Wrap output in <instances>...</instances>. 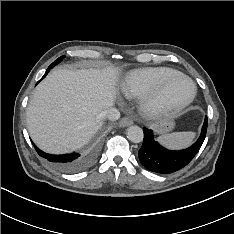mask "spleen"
Instances as JSON below:
<instances>
[{"label": "spleen", "mask_w": 234, "mask_h": 234, "mask_svg": "<svg viewBox=\"0 0 234 234\" xmlns=\"http://www.w3.org/2000/svg\"><path fill=\"white\" fill-rule=\"evenodd\" d=\"M195 138L194 132H175L158 137V141L171 149H181L190 146Z\"/></svg>", "instance_id": "obj_1"}]
</instances>
